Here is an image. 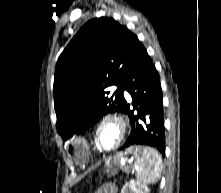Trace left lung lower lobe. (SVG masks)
Here are the masks:
<instances>
[{
    "label": "left lung lower lobe",
    "instance_id": "obj_1",
    "mask_svg": "<svg viewBox=\"0 0 221 193\" xmlns=\"http://www.w3.org/2000/svg\"><path fill=\"white\" fill-rule=\"evenodd\" d=\"M124 90L131 95L137 113L130 110V105L126 102L123 113L129 115L132 130L121 149L134 145H148L159 149L165 144L162 89L159 74L142 44L135 51L125 71L121 84L122 94ZM151 107L157 112L155 121L147 119ZM159 151L165 155V146Z\"/></svg>",
    "mask_w": 221,
    "mask_h": 193
}]
</instances>
